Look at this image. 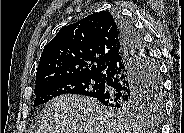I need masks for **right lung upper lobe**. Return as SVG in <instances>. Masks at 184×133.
Segmentation results:
<instances>
[{"mask_svg": "<svg viewBox=\"0 0 184 133\" xmlns=\"http://www.w3.org/2000/svg\"><path fill=\"white\" fill-rule=\"evenodd\" d=\"M120 47L121 29L116 16L108 11L62 27L44 47L35 88L65 77L103 75Z\"/></svg>", "mask_w": 184, "mask_h": 133, "instance_id": "cb5924a9", "label": "right lung upper lobe"}]
</instances>
